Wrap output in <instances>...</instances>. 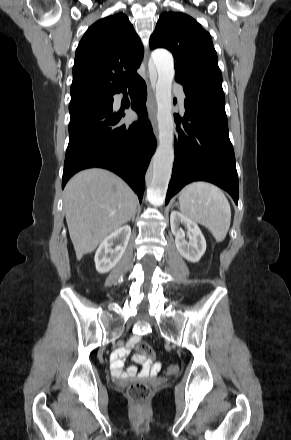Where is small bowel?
Masks as SVG:
<instances>
[{"instance_id": "small-bowel-1", "label": "small bowel", "mask_w": 291, "mask_h": 440, "mask_svg": "<svg viewBox=\"0 0 291 440\" xmlns=\"http://www.w3.org/2000/svg\"><path fill=\"white\" fill-rule=\"evenodd\" d=\"M138 340H139L138 336L132 337L127 344H125L123 347L117 350L118 354L122 355L129 353L131 348L137 343ZM135 361L142 365L139 371L134 366H129L126 370H124L123 359L121 357L114 356L112 358V363H111L112 374L115 377L121 379H125L128 377H137L144 379L149 377H155L161 369V365L159 363H153L150 359H145L144 357L135 358ZM173 369L175 371H180L181 368L179 364H175L173 366Z\"/></svg>"}]
</instances>
